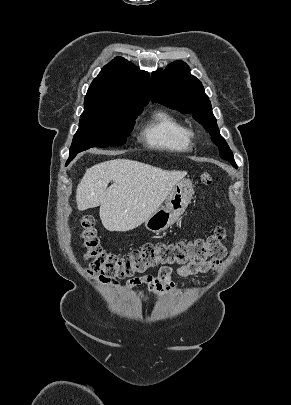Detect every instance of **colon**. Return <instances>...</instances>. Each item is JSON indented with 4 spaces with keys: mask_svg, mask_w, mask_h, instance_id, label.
I'll use <instances>...</instances> for the list:
<instances>
[{
    "mask_svg": "<svg viewBox=\"0 0 291 405\" xmlns=\"http://www.w3.org/2000/svg\"><path fill=\"white\" fill-rule=\"evenodd\" d=\"M201 180L205 185L212 183L209 173H203ZM79 235L84 257L90 264V273L97 275L103 283L142 274L156 267L186 266L190 263L220 260L225 254L227 240L225 230L219 227L207 238L146 243L138 249L119 255L106 252L101 247L96 222L90 214L82 217Z\"/></svg>",
    "mask_w": 291,
    "mask_h": 405,
    "instance_id": "5ec220e1",
    "label": "colon"
}]
</instances>
